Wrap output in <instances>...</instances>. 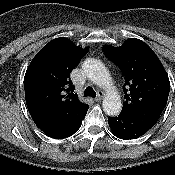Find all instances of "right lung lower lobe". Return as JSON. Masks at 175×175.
<instances>
[{
	"label": "right lung lower lobe",
	"mask_w": 175,
	"mask_h": 175,
	"mask_svg": "<svg viewBox=\"0 0 175 175\" xmlns=\"http://www.w3.org/2000/svg\"><path fill=\"white\" fill-rule=\"evenodd\" d=\"M86 113L87 111L73 119L57 118L40 125L39 128L51 138L63 139L71 136L79 129Z\"/></svg>",
	"instance_id": "right-lung-lower-lobe-1"
}]
</instances>
